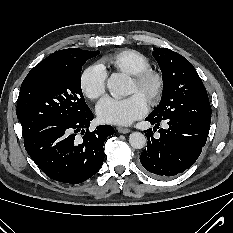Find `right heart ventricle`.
Masks as SVG:
<instances>
[{
	"label": "right heart ventricle",
	"mask_w": 233,
	"mask_h": 233,
	"mask_svg": "<svg viewBox=\"0 0 233 233\" xmlns=\"http://www.w3.org/2000/svg\"><path fill=\"white\" fill-rule=\"evenodd\" d=\"M103 62L132 76L150 68L149 59L142 53L132 49L118 51L111 56L105 57Z\"/></svg>",
	"instance_id": "1"
}]
</instances>
